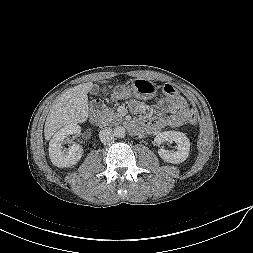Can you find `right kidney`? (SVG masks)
<instances>
[{"mask_svg": "<svg viewBox=\"0 0 253 253\" xmlns=\"http://www.w3.org/2000/svg\"><path fill=\"white\" fill-rule=\"evenodd\" d=\"M81 128L76 124H69L56 132L49 143V156L51 162L59 167H71L81 159L83 149L79 144H73L68 150L63 149L62 144L68 135H79Z\"/></svg>", "mask_w": 253, "mask_h": 253, "instance_id": "1", "label": "right kidney"}]
</instances>
